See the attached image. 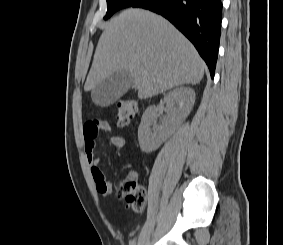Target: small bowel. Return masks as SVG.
<instances>
[{"label": "small bowel", "instance_id": "small-bowel-1", "mask_svg": "<svg viewBox=\"0 0 283 245\" xmlns=\"http://www.w3.org/2000/svg\"><path fill=\"white\" fill-rule=\"evenodd\" d=\"M110 125L102 120H88L83 126L84 148L87 161L90 165L91 175L94 180L97 192L103 196L110 195L113 191L111 183L106 179L102 170L99 167V159L95 156L94 150L96 147V137L100 131L109 132ZM111 143L118 148H123L126 145V140L120 135H113L110 138ZM135 179V175L129 176Z\"/></svg>", "mask_w": 283, "mask_h": 245}]
</instances>
